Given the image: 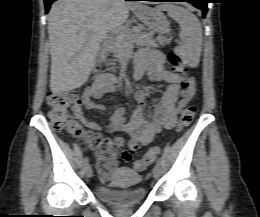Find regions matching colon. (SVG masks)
Returning <instances> with one entry per match:
<instances>
[{
  "label": "colon",
  "mask_w": 260,
  "mask_h": 217,
  "mask_svg": "<svg viewBox=\"0 0 260 217\" xmlns=\"http://www.w3.org/2000/svg\"><path fill=\"white\" fill-rule=\"evenodd\" d=\"M168 62L171 69L178 74L187 72L186 63L175 53L168 56ZM193 81L190 77H185L182 81V87L185 93H188ZM86 100V94L78 91L54 92L50 93L47 98V103L50 106L49 118L51 126L54 130L67 134L73 137L82 138L97 152L99 156L98 169L102 175H109L107 166L108 159H102L103 156L110 154L113 149V143L109 139L103 138L99 133L91 130L83 129L71 116L69 109L76 105H82ZM196 114V107L189 106L181 114L177 132L186 129L192 123ZM161 148L154 147L150 149L141 159L136 161L135 168L143 170L150 165L160 154ZM123 157L129 158L132 156L131 150H124Z\"/></svg>",
  "instance_id": "obj_1"
}]
</instances>
